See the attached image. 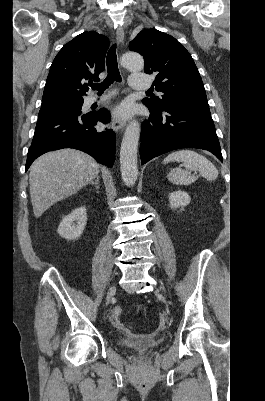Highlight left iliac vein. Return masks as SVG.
I'll return each mask as SVG.
<instances>
[{"label":"left iliac vein","mask_w":265,"mask_h":401,"mask_svg":"<svg viewBox=\"0 0 265 401\" xmlns=\"http://www.w3.org/2000/svg\"><path fill=\"white\" fill-rule=\"evenodd\" d=\"M161 290L163 291L164 294H166V291L163 287H161Z\"/></svg>","instance_id":"obj_1"}]
</instances>
